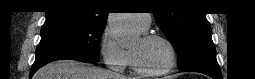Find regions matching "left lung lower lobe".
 <instances>
[{
	"instance_id": "obj_1",
	"label": "left lung lower lobe",
	"mask_w": 255,
	"mask_h": 79,
	"mask_svg": "<svg viewBox=\"0 0 255 79\" xmlns=\"http://www.w3.org/2000/svg\"><path fill=\"white\" fill-rule=\"evenodd\" d=\"M182 72L192 71L206 74L213 79H222L221 71L217 62H201L180 69Z\"/></svg>"
}]
</instances>
